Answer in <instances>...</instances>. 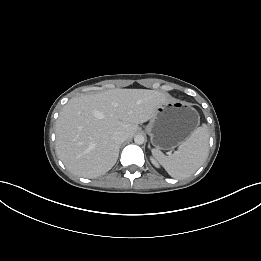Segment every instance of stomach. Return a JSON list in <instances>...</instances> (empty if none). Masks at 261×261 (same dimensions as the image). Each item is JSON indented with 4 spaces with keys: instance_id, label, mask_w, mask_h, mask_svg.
<instances>
[{
    "instance_id": "1",
    "label": "stomach",
    "mask_w": 261,
    "mask_h": 261,
    "mask_svg": "<svg viewBox=\"0 0 261 261\" xmlns=\"http://www.w3.org/2000/svg\"><path fill=\"white\" fill-rule=\"evenodd\" d=\"M199 121V114L193 107L168 100L157 108L146 132L157 149H171L186 141L197 129Z\"/></svg>"
}]
</instances>
